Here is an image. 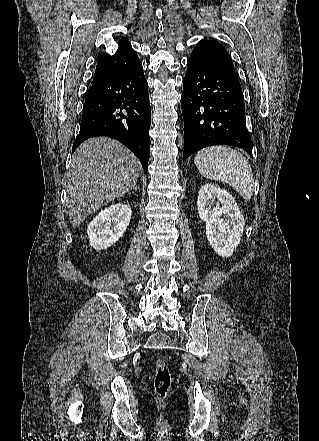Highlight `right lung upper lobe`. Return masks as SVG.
Masks as SVG:
<instances>
[{
	"mask_svg": "<svg viewBox=\"0 0 319 441\" xmlns=\"http://www.w3.org/2000/svg\"><path fill=\"white\" fill-rule=\"evenodd\" d=\"M117 43L118 48L115 54L108 55L103 53L99 57L93 77V84L140 63L136 52L132 49L127 38L122 37Z\"/></svg>",
	"mask_w": 319,
	"mask_h": 441,
	"instance_id": "cb5924a9",
	"label": "right lung upper lobe"
}]
</instances>
